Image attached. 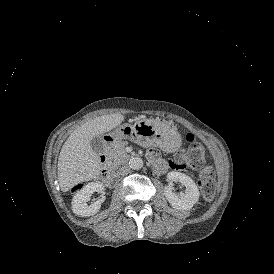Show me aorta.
Instances as JSON below:
<instances>
[{
  "label": "aorta",
  "mask_w": 274,
  "mask_h": 274,
  "mask_svg": "<svg viewBox=\"0 0 274 274\" xmlns=\"http://www.w3.org/2000/svg\"><path fill=\"white\" fill-rule=\"evenodd\" d=\"M129 166L134 170H139L143 167V160L139 157H133L129 161Z\"/></svg>",
  "instance_id": "762f6f07"
}]
</instances>
